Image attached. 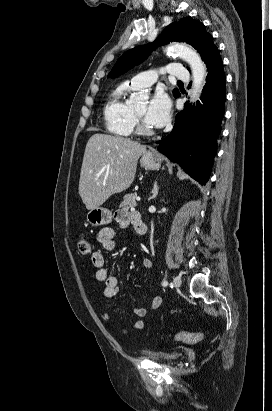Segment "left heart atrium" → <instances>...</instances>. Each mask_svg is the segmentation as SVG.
<instances>
[{"instance_id": "obj_1", "label": "left heart atrium", "mask_w": 272, "mask_h": 411, "mask_svg": "<svg viewBox=\"0 0 272 411\" xmlns=\"http://www.w3.org/2000/svg\"><path fill=\"white\" fill-rule=\"evenodd\" d=\"M171 102L163 91H157L150 100L146 112L145 122L154 128L163 127L169 120Z\"/></svg>"}]
</instances>
